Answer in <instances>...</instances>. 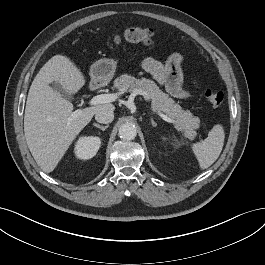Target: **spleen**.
<instances>
[{
  "label": "spleen",
  "mask_w": 265,
  "mask_h": 265,
  "mask_svg": "<svg viewBox=\"0 0 265 265\" xmlns=\"http://www.w3.org/2000/svg\"><path fill=\"white\" fill-rule=\"evenodd\" d=\"M224 138L223 126L217 124L204 141L193 144L192 148L201 169H207L218 159L223 148Z\"/></svg>",
  "instance_id": "3e777b00"
}]
</instances>
